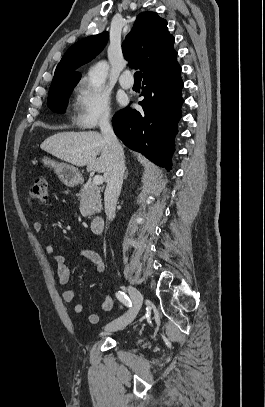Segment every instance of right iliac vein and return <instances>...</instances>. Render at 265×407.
I'll return each instance as SVG.
<instances>
[{
    "mask_svg": "<svg viewBox=\"0 0 265 407\" xmlns=\"http://www.w3.org/2000/svg\"><path fill=\"white\" fill-rule=\"evenodd\" d=\"M127 290L132 299V307L125 315L107 324L105 326V331L112 332L124 329L138 314L143 302V295L132 286H128Z\"/></svg>",
    "mask_w": 265,
    "mask_h": 407,
    "instance_id": "obj_1",
    "label": "right iliac vein"
}]
</instances>
